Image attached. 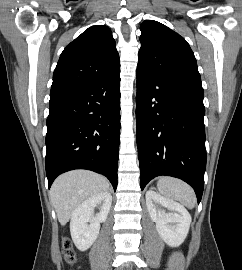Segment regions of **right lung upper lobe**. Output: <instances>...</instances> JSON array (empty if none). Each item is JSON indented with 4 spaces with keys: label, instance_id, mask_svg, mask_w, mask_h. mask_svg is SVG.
<instances>
[{
    "label": "right lung upper lobe",
    "instance_id": "cb5924a9",
    "mask_svg": "<svg viewBox=\"0 0 242 270\" xmlns=\"http://www.w3.org/2000/svg\"><path fill=\"white\" fill-rule=\"evenodd\" d=\"M118 69L119 54L111 30L105 25L91 26L61 53L50 98L72 92Z\"/></svg>",
    "mask_w": 242,
    "mask_h": 270
}]
</instances>
